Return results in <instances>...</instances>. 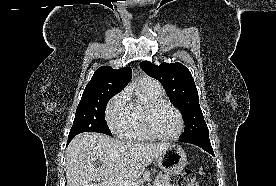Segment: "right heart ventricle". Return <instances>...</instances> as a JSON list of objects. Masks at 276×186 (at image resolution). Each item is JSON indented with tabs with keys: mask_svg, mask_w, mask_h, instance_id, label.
I'll return each instance as SVG.
<instances>
[{
	"mask_svg": "<svg viewBox=\"0 0 276 186\" xmlns=\"http://www.w3.org/2000/svg\"><path fill=\"white\" fill-rule=\"evenodd\" d=\"M140 90L144 99H137L129 104L131 122L119 135L130 140L144 141L151 139L144 126L145 108L150 102L162 99V89L141 82Z\"/></svg>",
	"mask_w": 276,
	"mask_h": 186,
	"instance_id": "right-heart-ventricle-1",
	"label": "right heart ventricle"
}]
</instances>
